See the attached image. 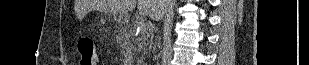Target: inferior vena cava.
Listing matches in <instances>:
<instances>
[{
  "mask_svg": "<svg viewBox=\"0 0 309 65\" xmlns=\"http://www.w3.org/2000/svg\"><path fill=\"white\" fill-rule=\"evenodd\" d=\"M163 2L166 3V8L168 7L169 2L167 0H162Z\"/></svg>",
  "mask_w": 309,
  "mask_h": 65,
  "instance_id": "inferior-vena-cava-1",
  "label": "inferior vena cava"
}]
</instances>
